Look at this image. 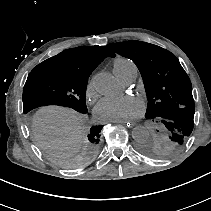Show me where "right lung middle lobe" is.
Returning <instances> with one entry per match:
<instances>
[{"instance_id":"1","label":"right lung middle lobe","mask_w":211,"mask_h":211,"mask_svg":"<svg viewBox=\"0 0 211 211\" xmlns=\"http://www.w3.org/2000/svg\"><path fill=\"white\" fill-rule=\"evenodd\" d=\"M90 74L74 68L40 63L30 72L24 86V113L46 105L66 106L87 113L85 93ZM102 127L103 125H96L90 128L88 140L91 146L84 162H89L96 156ZM56 161L68 167L77 164L74 161Z\"/></svg>"}]
</instances>
